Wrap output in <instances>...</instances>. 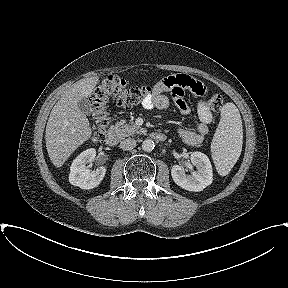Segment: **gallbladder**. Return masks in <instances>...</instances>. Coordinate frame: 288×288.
<instances>
[{
	"mask_svg": "<svg viewBox=\"0 0 288 288\" xmlns=\"http://www.w3.org/2000/svg\"><path fill=\"white\" fill-rule=\"evenodd\" d=\"M78 107L85 115H90L92 112L91 104L86 98H83L78 102Z\"/></svg>",
	"mask_w": 288,
	"mask_h": 288,
	"instance_id": "obj_1",
	"label": "gallbladder"
}]
</instances>
